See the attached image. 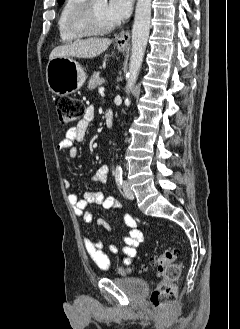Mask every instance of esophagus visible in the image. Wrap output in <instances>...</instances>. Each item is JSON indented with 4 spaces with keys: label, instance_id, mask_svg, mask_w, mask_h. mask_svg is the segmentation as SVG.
I'll return each mask as SVG.
<instances>
[{
    "label": "esophagus",
    "instance_id": "1",
    "mask_svg": "<svg viewBox=\"0 0 240 329\" xmlns=\"http://www.w3.org/2000/svg\"><path fill=\"white\" fill-rule=\"evenodd\" d=\"M129 40H130V33L124 31L120 32L115 38L116 45L122 48L128 45Z\"/></svg>",
    "mask_w": 240,
    "mask_h": 329
}]
</instances>
